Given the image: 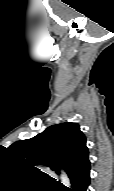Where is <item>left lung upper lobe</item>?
I'll return each instance as SVG.
<instances>
[{
    "mask_svg": "<svg viewBox=\"0 0 114 191\" xmlns=\"http://www.w3.org/2000/svg\"><path fill=\"white\" fill-rule=\"evenodd\" d=\"M10 154L23 164L35 168L44 164L69 177L89 158L85 135L77 123H60L48 127L37 136L20 140L8 147Z\"/></svg>",
    "mask_w": 114,
    "mask_h": 191,
    "instance_id": "left-lung-upper-lobe-1",
    "label": "left lung upper lobe"
}]
</instances>
